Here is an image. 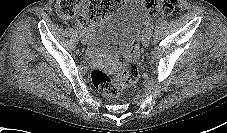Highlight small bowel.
<instances>
[{"label":"small bowel","mask_w":227,"mask_h":133,"mask_svg":"<svg viewBox=\"0 0 227 133\" xmlns=\"http://www.w3.org/2000/svg\"><path fill=\"white\" fill-rule=\"evenodd\" d=\"M84 25V28L88 31V32H90L91 31V28H90V26L89 25H85V24H83Z\"/></svg>","instance_id":"obj_1"}]
</instances>
